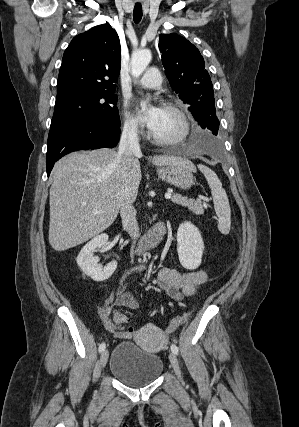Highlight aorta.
Listing matches in <instances>:
<instances>
[{
  "instance_id": "762f6f07",
  "label": "aorta",
  "mask_w": 299,
  "mask_h": 427,
  "mask_svg": "<svg viewBox=\"0 0 299 427\" xmlns=\"http://www.w3.org/2000/svg\"><path fill=\"white\" fill-rule=\"evenodd\" d=\"M151 58L152 54L149 49L133 52L130 62L132 76L138 78L150 63Z\"/></svg>"
}]
</instances>
